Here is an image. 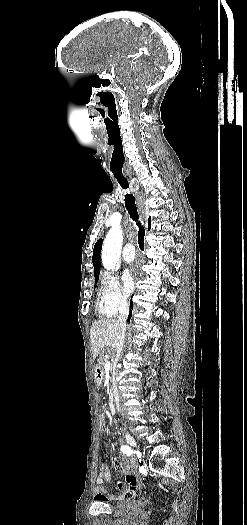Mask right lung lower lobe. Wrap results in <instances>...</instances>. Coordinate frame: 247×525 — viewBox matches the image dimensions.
I'll list each match as a JSON object with an SVG mask.
<instances>
[{"instance_id": "98d812e1", "label": "right lung lower lobe", "mask_w": 247, "mask_h": 525, "mask_svg": "<svg viewBox=\"0 0 247 525\" xmlns=\"http://www.w3.org/2000/svg\"><path fill=\"white\" fill-rule=\"evenodd\" d=\"M130 308L132 309V307H130ZM131 313H132V311L130 310L128 320H130V318H131Z\"/></svg>"}]
</instances>
